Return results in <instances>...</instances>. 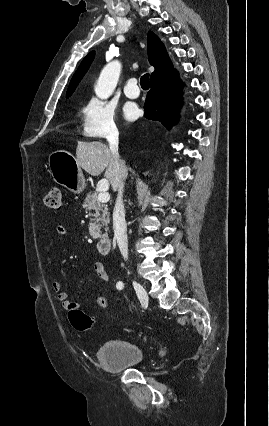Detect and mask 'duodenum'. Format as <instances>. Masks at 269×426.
Listing matches in <instances>:
<instances>
[{"mask_svg":"<svg viewBox=\"0 0 269 426\" xmlns=\"http://www.w3.org/2000/svg\"><path fill=\"white\" fill-rule=\"evenodd\" d=\"M112 247V239L110 236H102L97 242V249L100 254L107 255L110 253Z\"/></svg>","mask_w":269,"mask_h":426,"instance_id":"1","label":"duodenum"}]
</instances>
